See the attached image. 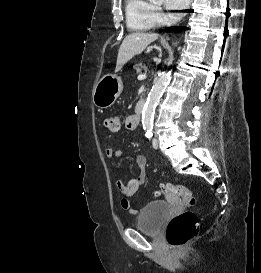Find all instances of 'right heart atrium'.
Masks as SVG:
<instances>
[{"instance_id":"obj_1","label":"right heart atrium","mask_w":261,"mask_h":273,"mask_svg":"<svg viewBox=\"0 0 261 273\" xmlns=\"http://www.w3.org/2000/svg\"><path fill=\"white\" fill-rule=\"evenodd\" d=\"M154 16L157 23H161L164 20V15L158 7L154 8Z\"/></svg>"}]
</instances>
